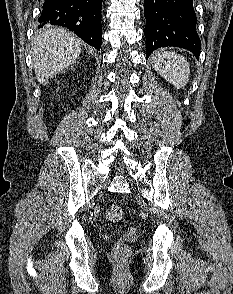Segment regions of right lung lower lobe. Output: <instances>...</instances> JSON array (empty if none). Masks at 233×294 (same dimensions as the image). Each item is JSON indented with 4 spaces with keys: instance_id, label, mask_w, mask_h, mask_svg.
<instances>
[{
    "instance_id": "right-lung-lower-lobe-1",
    "label": "right lung lower lobe",
    "mask_w": 233,
    "mask_h": 294,
    "mask_svg": "<svg viewBox=\"0 0 233 294\" xmlns=\"http://www.w3.org/2000/svg\"><path fill=\"white\" fill-rule=\"evenodd\" d=\"M102 0H45L39 27L60 25L73 31L89 45L100 49Z\"/></svg>"
}]
</instances>
